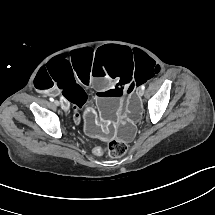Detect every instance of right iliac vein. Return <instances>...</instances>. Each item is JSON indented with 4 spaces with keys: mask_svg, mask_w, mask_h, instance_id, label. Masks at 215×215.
Segmentation results:
<instances>
[{
    "mask_svg": "<svg viewBox=\"0 0 215 215\" xmlns=\"http://www.w3.org/2000/svg\"><path fill=\"white\" fill-rule=\"evenodd\" d=\"M54 106H59V102L57 100L54 101L53 103Z\"/></svg>",
    "mask_w": 215,
    "mask_h": 215,
    "instance_id": "right-iliac-vein-1",
    "label": "right iliac vein"
}]
</instances>
